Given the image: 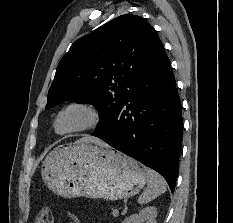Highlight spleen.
<instances>
[{
  "label": "spleen",
  "instance_id": "spleen-1",
  "mask_svg": "<svg viewBox=\"0 0 233 223\" xmlns=\"http://www.w3.org/2000/svg\"><path fill=\"white\" fill-rule=\"evenodd\" d=\"M147 187L141 195H139L137 201L138 203H148V201H152L161 193L166 191V181L162 175H159L157 171H153V169H148L147 167Z\"/></svg>",
  "mask_w": 233,
  "mask_h": 223
}]
</instances>
